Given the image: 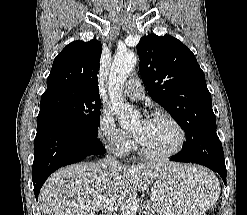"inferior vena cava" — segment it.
Returning <instances> with one entry per match:
<instances>
[{"label": "inferior vena cava", "mask_w": 247, "mask_h": 215, "mask_svg": "<svg viewBox=\"0 0 247 215\" xmlns=\"http://www.w3.org/2000/svg\"><path fill=\"white\" fill-rule=\"evenodd\" d=\"M103 163L114 168L120 166L119 161H117L114 156H111L109 154L106 155V157L103 159Z\"/></svg>", "instance_id": "602c4592"}]
</instances>
